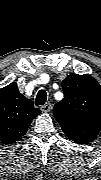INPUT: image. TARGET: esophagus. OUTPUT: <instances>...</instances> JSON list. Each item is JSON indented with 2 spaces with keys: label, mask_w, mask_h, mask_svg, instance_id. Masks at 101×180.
Listing matches in <instances>:
<instances>
[{
  "label": "esophagus",
  "mask_w": 101,
  "mask_h": 180,
  "mask_svg": "<svg viewBox=\"0 0 101 180\" xmlns=\"http://www.w3.org/2000/svg\"><path fill=\"white\" fill-rule=\"evenodd\" d=\"M51 109V104L49 102L45 103L41 106L42 112H49Z\"/></svg>",
  "instance_id": "obj_1"
}]
</instances>
